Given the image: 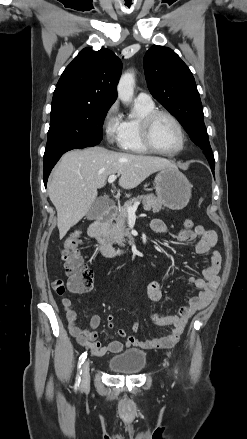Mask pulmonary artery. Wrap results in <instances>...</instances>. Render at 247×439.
<instances>
[{"instance_id": "1", "label": "pulmonary artery", "mask_w": 247, "mask_h": 439, "mask_svg": "<svg viewBox=\"0 0 247 439\" xmlns=\"http://www.w3.org/2000/svg\"><path fill=\"white\" fill-rule=\"evenodd\" d=\"M136 101L143 102V103H152L153 102L151 96L145 92H140L136 97Z\"/></svg>"}]
</instances>
